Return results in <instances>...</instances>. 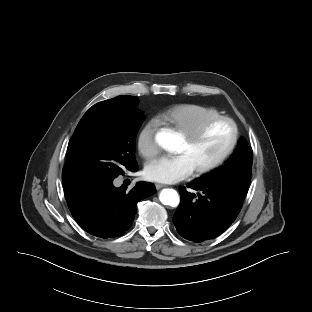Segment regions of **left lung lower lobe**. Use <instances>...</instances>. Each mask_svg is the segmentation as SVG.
<instances>
[{
	"mask_svg": "<svg viewBox=\"0 0 312 312\" xmlns=\"http://www.w3.org/2000/svg\"><path fill=\"white\" fill-rule=\"evenodd\" d=\"M181 187V202L173 217L177 232L185 239L203 242L223 233L238 216L244 197L225 183L198 179Z\"/></svg>",
	"mask_w": 312,
	"mask_h": 312,
	"instance_id": "left-lung-lower-lobe-1",
	"label": "left lung lower lobe"
}]
</instances>
